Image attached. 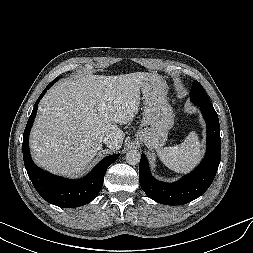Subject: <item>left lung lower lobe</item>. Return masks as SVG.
I'll list each match as a JSON object with an SVG mask.
<instances>
[{"label":"left lung lower lobe","instance_id":"0a47b994","mask_svg":"<svg viewBox=\"0 0 253 253\" xmlns=\"http://www.w3.org/2000/svg\"><path fill=\"white\" fill-rule=\"evenodd\" d=\"M207 124V151L202 163L190 174L175 183L154 179L147 158L141 155L139 181L145 193L165 205H181L200 197L211 185L221 158V138L218 115L214 107L200 106Z\"/></svg>","mask_w":253,"mask_h":253}]
</instances>
